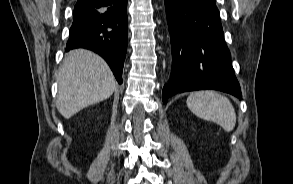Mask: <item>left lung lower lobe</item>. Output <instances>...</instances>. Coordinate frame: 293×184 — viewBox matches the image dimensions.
<instances>
[{"label":"left lung lower lobe","mask_w":293,"mask_h":184,"mask_svg":"<svg viewBox=\"0 0 293 184\" xmlns=\"http://www.w3.org/2000/svg\"><path fill=\"white\" fill-rule=\"evenodd\" d=\"M172 72L162 100L185 91L214 89L242 98L224 41L215 0H165Z\"/></svg>","instance_id":"left-lung-lower-lobe-1"}]
</instances>
